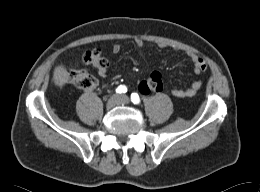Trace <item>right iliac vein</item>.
<instances>
[{
    "instance_id": "1",
    "label": "right iliac vein",
    "mask_w": 260,
    "mask_h": 192,
    "mask_svg": "<svg viewBox=\"0 0 260 192\" xmlns=\"http://www.w3.org/2000/svg\"><path fill=\"white\" fill-rule=\"evenodd\" d=\"M119 103V96L118 95H113L110 97V99L107 101V108H113Z\"/></svg>"
}]
</instances>
